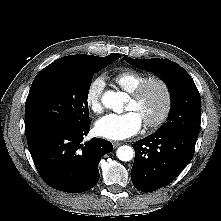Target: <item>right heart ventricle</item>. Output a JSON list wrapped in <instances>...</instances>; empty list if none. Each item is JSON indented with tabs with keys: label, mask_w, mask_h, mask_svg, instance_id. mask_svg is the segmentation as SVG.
<instances>
[{
	"label": "right heart ventricle",
	"mask_w": 221,
	"mask_h": 221,
	"mask_svg": "<svg viewBox=\"0 0 221 221\" xmlns=\"http://www.w3.org/2000/svg\"><path fill=\"white\" fill-rule=\"evenodd\" d=\"M150 77L135 69H125L114 77V82L124 91L131 93Z\"/></svg>",
	"instance_id": "obj_1"
}]
</instances>
